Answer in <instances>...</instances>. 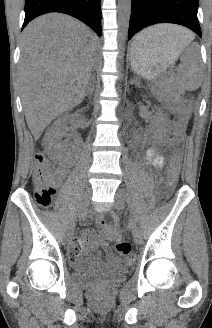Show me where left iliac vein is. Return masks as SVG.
<instances>
[{"label":"left iliac vein","mask_w":212,"mask_h":328,"mask_svg":"<svg viewBox=\"0 0 212 328\" xmlns=\"http://www.w3.org/2000/svg\"><path fill=\"white\" fill-rule=\"evenodd\" d=\"M114 205L118 211H123L125 208L124 194L120 189L116 192ZM131 227H132V235H133L134 242L136 244H140L142 240V236L139 228L134 223L131 224Z\"/></svg>","instance_id":"obj_1"}]
</instances>
